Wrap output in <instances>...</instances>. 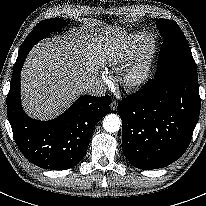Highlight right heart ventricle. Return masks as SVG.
Returning a JSON list of instances; mask_svg holds the SVG:
<instances>
[{"mask_svg": "<svg viewBox=\"0 0 206 206\" xmlns=\"http://www.w3.org/2000/svg\"><path fill=\"white\" fill-rule=\"evenodd\" d=\"M141 34L140 35H137V39H140L141 38ZM125 57L124 55H117L115 58H113L110 63H109V66L112 68V70H117L120 65L123 63Z\"/></svg>", "mask_w": 206, "mask_h": 206, "instance_id": "e07e8e85", "label": "right heart ventricle"}]
</instances>
